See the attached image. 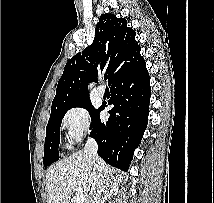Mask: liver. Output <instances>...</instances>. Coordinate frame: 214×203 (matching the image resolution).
<instances>
[{"instance_id": "obj_1", "label": "liver", "mask_w": 214, "mask_h": 203, "mask_svg": "<svg viewBox=\"0 0 214 203\" xmlns=\"http://www.w3.org/2000/svg\"><path fill=\"white\" fill-rule=\"evenodd\" d=\"M92 166L88 163L83 151L76 152L54 164L46 174L48 203H70L76 187L83 189L84 203L94 195V184L91 179ZM102 193L110 198L118 192L113 169L104 163Z\"/></svg>"}]
</instances>
